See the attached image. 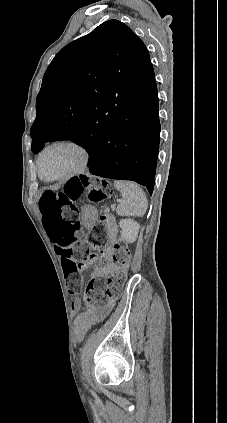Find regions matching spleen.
Returning <instances> with one entry per match:
<instances>
[{
  "label": "spleen",
  "mask_w": 227,
  "mask_h": 423,
  "mask_svg": "<svg viewBox=\"0 0 227 423\" xmlns=\"http://www.w3.org/2000/svg\"><path fill=\"white\" fill-rule=\"evenodd\" d=\"M116 190L121 192L122 200L117 206L118 215H136L143 217L147 210V198L135 182H114Z\"/></svg>",
  "instance_id": "spleen-1"
}]
</instances>
